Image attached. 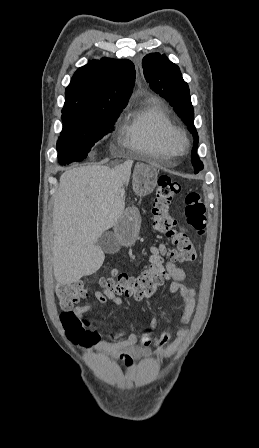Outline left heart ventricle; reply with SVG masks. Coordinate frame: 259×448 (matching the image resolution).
I'll return each mask as SVG.
<instances>
[{"instance_id": "left-heart-ventricle-1", "label": "left heart ventricle", "mask_w": 259, "mask_h": 448, "mask_svg": "<svg viewBox=\"0 0 259 448\" xmlns=\"http://www.w3.org/2000/svg\"><path fill=\"white\" fill-rule=\"evenodd\" d=\"M145 153L148 154L149 156H156L158 152L155 150H149L146 151Z\"/></svg>"}]
</instances>
